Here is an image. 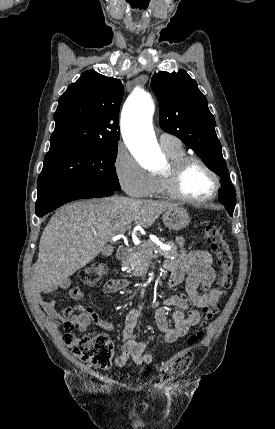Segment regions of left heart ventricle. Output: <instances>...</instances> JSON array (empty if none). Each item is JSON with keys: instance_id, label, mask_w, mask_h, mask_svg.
Listing matches in <instances>:
<instances>
[{"instance_id": "left-heart-ventricle-1", "label": "left heart ventricle", "mask_w": 275, "mask_h": 429, "mask_svg": "<svg viewBox=\"0 0 275 429\" xmlns=\"http://www.w3.org/2000/svg\"><path fill=\"white\" fill-rule=\"evenodd\" d=\"M213 188L211 176L197 163L189 165L181 177L180 189L188 197L204 199L212 193Z\"/></svg>"}]
</instances>
